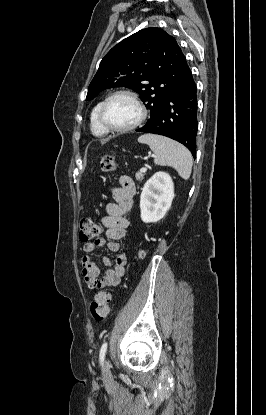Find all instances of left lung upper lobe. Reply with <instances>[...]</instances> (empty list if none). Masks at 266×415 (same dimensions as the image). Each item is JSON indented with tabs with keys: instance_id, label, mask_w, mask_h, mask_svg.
<instances>
[{
	"instance_id": "left-lung-upper-lobe-1",
	"label": "left lung upper lobe",
	"mask_w": 266,
	"mask_h": 415,
	"mask_svg": "<svg viewBox=\"0 0 266 415\" xmlns=\"http://www.w3.org/2000/svg\"><path fill=\"white\" fill-rule=\"evenodd\" d=\"M187 61L177 41L160 28L134 33L114 46L100 62L86 100L112 87L137 92L153 120L183 78Z\"/></svg>"
}]
</instances>
